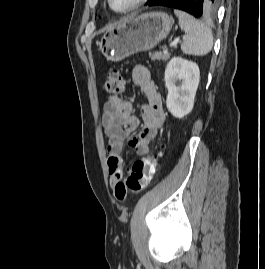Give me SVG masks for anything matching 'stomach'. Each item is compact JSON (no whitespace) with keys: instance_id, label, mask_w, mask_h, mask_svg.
Here are the masks:
<instances>
[{"instance_id":"obj_1","label":"stomach","mask_w":265,"mask_h":269,"mask_svg":"<svg viewBox=\"0 0 265 269\" xmlns=\"http://www.w3.org/2000/svg\"><path fill=\"white\" fill-rule=\"evenodd\" d=\"M172 25V17L159 11L126 19L104 33L100 51L108 60L121 61L154 48L168 36Z\"/></svg>"}]
</instances>
